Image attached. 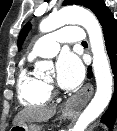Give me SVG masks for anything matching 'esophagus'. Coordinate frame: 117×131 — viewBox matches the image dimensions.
I'll use <instances>...</instances> for the list:
<instances>
[{
	"instance_id": "esophagus-1",
	"label": "esophagus",
	"mask_w": 117,
	"mask_h": 131,
	"mask_svg": "<svg viewBox=\"0 0 117 131\" xmlns=\"http://www.w3.org/2000/svg\"><path fill=\"white\" fill-rule=\"evenodd\" d=\"M92 91H93V87H92L91 84L85 85V86L82 88V90H81V92L79 93V95H77V96H75V97H73V98H71L70 100L67 101V103H66V105H65V108H66L67 110H71V111H72V110L74 109V107H75V103H76V100H77L78 96H82V97H84V98H88V97L91 96Z\"/></svg>"
}]
</instances>
